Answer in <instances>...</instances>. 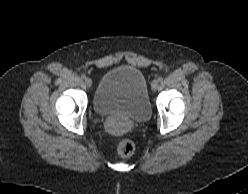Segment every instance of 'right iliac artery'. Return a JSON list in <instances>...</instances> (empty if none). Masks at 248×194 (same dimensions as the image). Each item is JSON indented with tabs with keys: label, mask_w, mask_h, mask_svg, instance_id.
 I'll return each instance as SVG.
<instances>
[{
	"label": "right iliac artery",
	"mask_w": 248,
	"mask_h": 194,
	"mask_svg": "<svg viewBox=\"0 0 248 194\" xmlns=\"http://www.w3.org/2000/svg\"><path fill=\"white\" fill-rule=\"evenodd\" d=\"M86 78V75L85 74H82L81 75V79H85Z\"/></svg>",
	"instance_id": "82829eb1"
}]
</instances>
